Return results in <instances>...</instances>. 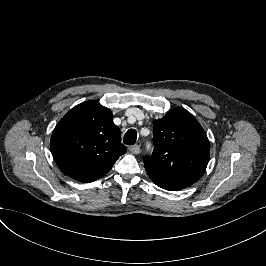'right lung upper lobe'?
<instances>
[{
  "label": "right lung upper lobe",
  "mask_w": 266,
  "mask_h": 266,
  "mask_svg": "<svg viewBox=\"0 0 266 266\" xmlns=\"http://www.w3.org/2000/svg\"><path fill=\"white\" fill-rule=\"evenodd\" d=\"M50 145L62 172L80 182L101 178L127 151L112 112L95 101L71 109L56 125Z\"/></svg>",
  "instance_id": "cb5924a9"
}]
</instances>
